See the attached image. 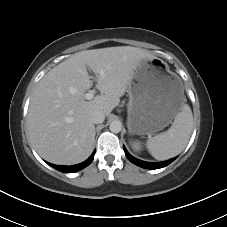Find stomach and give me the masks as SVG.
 Instances as JSON below:
<instances>
[{"instance_id":"1","label":"stomach","mask_w":227,"mask_h":227,"mask_svg":"<svg viewBox=\"0 0 227 227\" xmlns=\"http://www.w3.org/2000/svg\"><path fill=\"white\" fill-rule=\"evenodd\" d=\"M127 125L137 135L168 126L185 101L181 80L159 58H142L129 82Z\"/></svg>"}]
</instances>
